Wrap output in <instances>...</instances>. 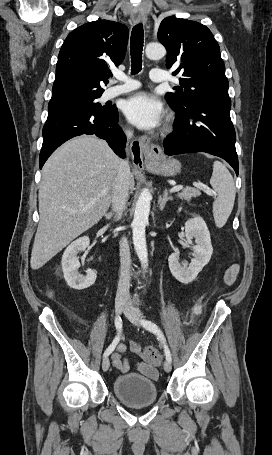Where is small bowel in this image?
Instances as JSON below:
<instances>
[{
    "instance_id": "obj_1",
    "label": "small bowel",
    "mask_w": 272,
    "mask_h": 455,
    "mask_svg": "<svg viewBox=\"0 0 272 455\" xmlns=\"http://www.w3.org/2000/svg\"><path fill=\"white\" fill-rule=\"evenodd\" d=\"M239 274V265L232 264L230 265L223 276V281L226 285H232ZM131 349L134 353L139 354L141 352V346L133 341L131 344ZM126 351V346L123 343H119L116 351L112 355L113 365L122 373H127L131 367V360L128 357H124L123 354ZM135 369L142 373L143 375L156 379L158 377V372L156 368L148 363H136L134 364Z\"/></svg>"
}]
</instances>
